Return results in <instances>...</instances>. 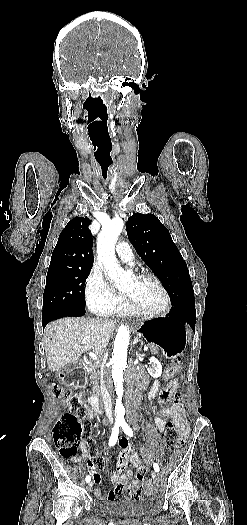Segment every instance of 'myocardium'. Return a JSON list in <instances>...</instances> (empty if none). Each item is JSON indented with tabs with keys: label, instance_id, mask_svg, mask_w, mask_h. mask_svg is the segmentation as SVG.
I'll return each mask as SVG.
<instances>
[{
	"label": "myocardium",
	"instance_id": "f54148a6",
	"mask_svg": "<svg viewBox=\"0 0 247 525\" xmlns=\"http://www.w3.org/2000/svg\"><path fill=\"white\" fill-rule=\"evenodd\" d=\"M127 264L130 267L132 266L130 263H127ZM141 278H150V279H152L157 284V286L160 288L162 293L164 294L165 301H164V304H163L162 307H160L158 309H150L145 304H143L139 299H137L140 312L143 315H147V316H160V315H163L166 312H168L170 310V307H171V297H170V294H169L168 290L163 285L162 281L158 278V276L156 274H154L153 272H150V271H142L137 276V279H141Z\"/></svg>",
	"mask_w": 247,
	"mask_h": 525
}]
</instances>
